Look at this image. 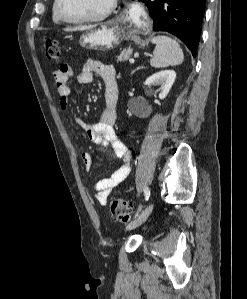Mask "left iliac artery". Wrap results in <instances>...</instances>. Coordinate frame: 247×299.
Instances as JSON below:
<instances>
[{
    "mask_svg": "<svg viewBox=\"0 0 247 299\" xmlns=\"http://www.w3.org/2000/svg\"><path fill=\"white\" fill-rule=\"evenodd\" d=\"M144 195H145V199L146 201L149 199L150 197V189L148 187L144 188ZM138 215V212L136 213V216Z\"/></svg>",
    "mask_w": 247,
    "mask_h": 299,
    "instance_id": "44dca946",
    "label": "left iliac artery"
}]
</instances>
